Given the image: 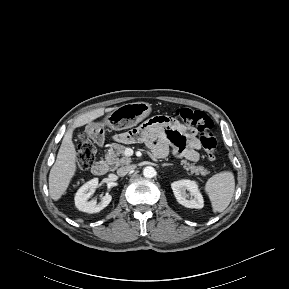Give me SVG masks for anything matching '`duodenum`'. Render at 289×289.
<instances>
[{"mask_svg":"<svg viewBox=\"0 0 289 289\" xmlns=\"http://www.w3.org/2000/svg\"><path fill=\"white\" fill-rule=\"evenodd\" d=\"M109 165L105 160L97 161L92 166V173L95 175H103L107 173Z\"/></svg>","mask_w":289,"mask_h":289,"instance_id":"duodenum-1","label":"duodenum"}]
</instances>
